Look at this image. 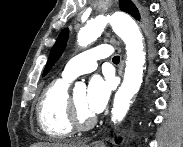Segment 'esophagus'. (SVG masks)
<instances>
[{"label": "esophagus", "instance_id": "obj_1", "mask_svg": "<svg viewBox=\"0 0 183 147\" xmlns=\"http://www.w3.org/2000/svg\"><path fill=\"white\" fill-rule=\"evenodd\" d=\"M101 144H102L101 141H96V142L94 143V146L98 147V146H101Z\"/></svg>", "mask_w": 183, "mask_h": 147}]
</instances>
